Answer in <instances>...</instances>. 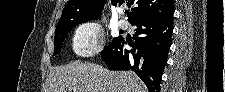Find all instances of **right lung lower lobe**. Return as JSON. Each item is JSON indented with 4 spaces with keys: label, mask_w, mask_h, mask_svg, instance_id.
Masks as SVG:
<instances>
[{
    "label": "right lung lower lobe",
    "mask_w": 225,
    "mask_h": 92,
    "mask_svg": "<svg viewBox=\"0 0 225 92\" xmlns=\"http://www.w3.org/2000/svg\"><path fill=\"white\" fill-rule=\"evenodd\" d=\"M173 14L161 18L139 20L133 36L132 49H123L117 39L105 47L101 57L110 70H132L146 84L149 92H159L167 54L171 46Z\"/></svg>",
    "instance_id": "98d812e1"
}]
</instances>
